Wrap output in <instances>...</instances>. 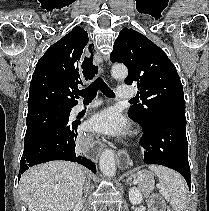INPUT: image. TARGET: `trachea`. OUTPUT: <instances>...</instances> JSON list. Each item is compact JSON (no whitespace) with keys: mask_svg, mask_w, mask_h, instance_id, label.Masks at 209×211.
Wrapping results in <instances>:
<instances>
[{"mask_svg":"<svg viewBox=\"0 0 209 211\" xmlns=\"http://www.w3.org/2000/svg\"><path fill=\"white\" fill-rule=\"evenodd\" d=\"M98 90L108 97L115 96L114 92L101 78L96 79L88 88L80 91L79 95L84 98V101H91L96 96ZM131 102H133V100H131Z\"/></svg>","mask_w":209,"mask_h":211,"instance_id":"trachea-1","label":"trachea"}]
</instances>
